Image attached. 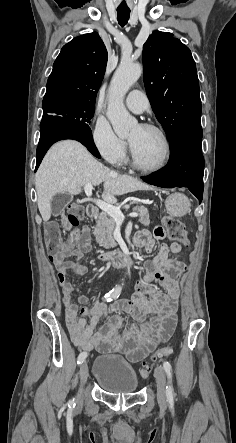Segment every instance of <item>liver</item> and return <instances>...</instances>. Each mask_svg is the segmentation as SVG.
Wrapping results in <instances>:
<instances>
[{"label": "liver", "instance_id": "6515ba94", "mask_svg": "<svg viewBox=\"0 0 236 443\" xmlns=\"http://www.w3.org/2000/svg\"><path fill=\"white\" fill-rule=\"evenodd\" d=\"M88 183H103L102 197L108 204L115 203L116 196L151 189L137 178L110 170L79 142L64 140L50 148L35 175L38 208L44 222L51 217V199L56 194L77 195Z\"/></svg>", "mask_w": 236, "mask_h": 443}]
</instances>
